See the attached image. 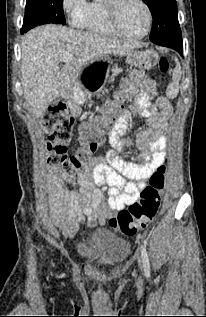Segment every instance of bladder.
<instances>
[{"mask_svg":"<svg viewBox=\"0 0 206 317\" xmlns=\"http://www.w3.org/2000/svg\"><path fill=\"white\" fill-rule=\"evenodd\" d=\"M130 243L115 233L98 228L86 233L77 245L78 255L97 268H111L129 254Z\"/></svg>","mask_w":206,"mask_h":317,"instance_id":"bladder-1","label":"bladder"}]
</instances>
